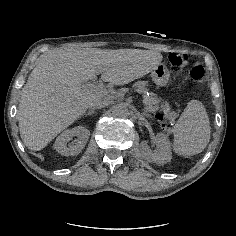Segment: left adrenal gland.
Segmentation results:
<instances>
[{
	"instance_id": "a2214340",
	"label": "left adrenal gland",
	"mask_w": 236,
	"mask_h": 236,
	"mask_svg": "<svg viewBox=\"0 0 236 236\" xmlns=\"http://www.w3.org/2000/svg\"><path fill=\"white\" fill-rule=\"evenodd\" d=\"M142 115H145V116H148V117L150 116L149 114H146V113H142Z\"/></svg>"
}]
</instances>
